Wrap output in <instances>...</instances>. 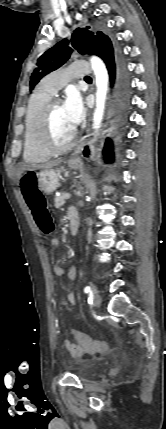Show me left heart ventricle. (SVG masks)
Returning a JSON list of instances; mask_svg holds the SVG:
<instances>
[{"mask_svg":"<svg viewBox=\"0 0 166 429\" xmlns=\"http://www.w3.org/2000/svg\"><path fill=\"white\" fill-rule=\"evenodd\" d=\"M74 127L68 120L63 103L58 104L52 113L51 117V132L53 140L57 144L66 143L73 131Z\"/></svg>","mask_w":166,"mask_h":429,"instance_id":"b2bd125f","label":"left heart ventricle"}]
</instances>
